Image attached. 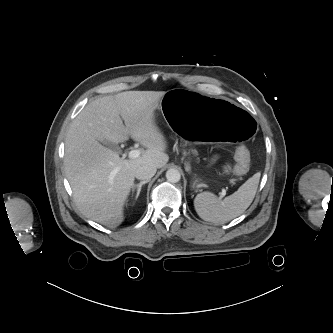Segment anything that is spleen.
<instances>
[{
	"mask_svg": "<svg viewBox=\"0 0 333 333\" xmlns=\"http://www.w3.org/2000/svg\"><path fill=\"white\" fill-rule=\"evenodd\" d=\"M260 173L254 174L237 191L226 197L218 199L213 193L203 192L194 199V207L201 219L215 224H224L241 215L252 203Z\"/></svg>",
	"mask_w": 333,
	"mask_h": 333,
	"instance_id": "1",
	"label": "spleen"
}]
</instances>
